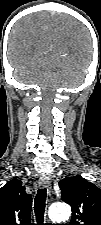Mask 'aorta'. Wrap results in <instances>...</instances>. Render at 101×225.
Returning <instances> with one entry per match:
<instances>
[{
	"instance_id": "1",
	"label": "aorta",
	"mask_w": 101,
	"mask_h": 225,
	"mask_svg": "<svg viewBox=\"0 0 101 225\" xmlns=\"http://www.w3.org/2000/svg\"><path fill=\"white\" fill-rule=\"evenodd\" d=\"M48 215L53 222L65 221L71 216V209L66 204H53L49 209Z\"/></svg>"
}]
</instances>
